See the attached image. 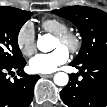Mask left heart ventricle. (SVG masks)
Returning a JSON list of instances; mask_svg holds the SVG:
<instances>
[{
	"mask_svg": "<svg viewBox=\"0 0 107 107\" xmlns=\"http://www.w3.org/2000/svg\"><path fill=\"white\" fill-rule=\"evenodd\" d=\"M53 48L57 49V48H64V47L55 39Z\"/></svg>",
	"mask_w": 107,
	"mask_h": 107,
	"instance_id": "obj_1",
	"label": "left heart ventricle"
}]
</instances>
